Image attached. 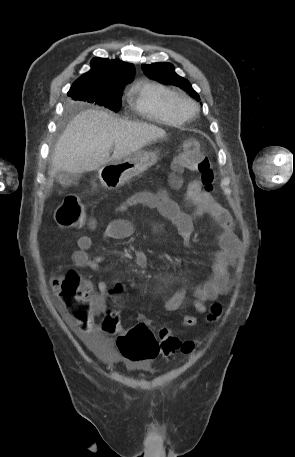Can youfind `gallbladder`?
<instances>
[{
    "label": "gallbladder",
    "mask_w": 295,
    "mask_h": 457,
    "mask_svg": "<svg viewBox=\"0 0 295 457\" xmlns=\"http://www.w3.org/2000/svg\"><path fill=\"white\" fill-rule=\"evenodd\" d=\"M55 179L62 185V186H70L73 183H77L79 180V176L76 174H71L65 171H59L55 174Z\"/></svg>",
    "instance_id": "obj_1"
}]
</instances>
